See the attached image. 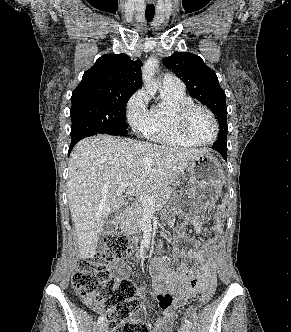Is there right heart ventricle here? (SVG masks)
Returning <instances> with one entry per match:
<instances>
[{
  "instance_id": "e07e8e85",
  "label": "right heart ventricle",
  "mask_w": 291,
  "mask_h": 332,
  "mask_svg": "<svg viewBox=\"0 0 291 332\" xmlns=\"http://www.w3.org/2000/svg\"><path fill=\"white\" fill-rule=\"evenodd\" d=\"M164 98L155 103L148 112L146 124L141 128L144 136L160 144L193 147L196 144L182 135L177 125L179 110L193 103L185 91L164 89Z\"/></svg>"
}]
</instances>
